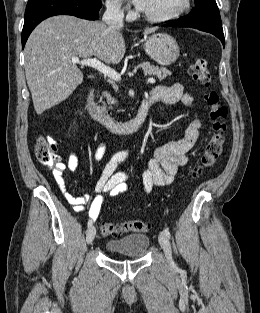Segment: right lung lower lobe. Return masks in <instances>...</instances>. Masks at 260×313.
Returning a JSON list of instances; mask_svg holds the SVG:
<instances>
[{"label":"right lung lower lobe","mask_w":260,"mask_h":313,"mask_svg":"<svg viewBox=\"0 0 260 313\" xmlns=\"http://www.w3.org/2000/svg\"><path fill=\"white\" fill-rule=\"evenodd\" d=\"M101 0H28L22 30V47L32 30L44 19L54 15H73L96 20L99 18Z\"/></svg>","instance_id":"98d812e1"}]
</instances>
